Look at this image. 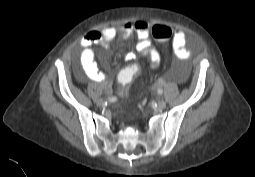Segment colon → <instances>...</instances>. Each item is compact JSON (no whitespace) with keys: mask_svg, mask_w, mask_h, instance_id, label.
Wrapping results in <instances>:
<instances>
[{"mask_svg":"<svg viewBox=\"0 0 255 177\" xmlns=\"http://www.w3.org/2000/svg\"><path fill=\"white\" fill-rule=\"evenodd\" d=\"M152 35L157 40H167L172 36V30L165 25H154L152 27ZM140 71V66L137 63H133L123 70L118 75V81L122 87L123 92H125L133 77Z\"/></svg>","mask_w":255,"mask_h":177,"instance_id":"obj_1","label":"colon"}]
</instances>
